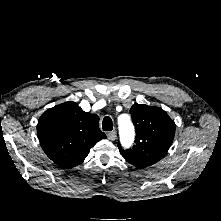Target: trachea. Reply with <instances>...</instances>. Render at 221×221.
I'll list each match as a JSON object with an SVG mask.
<instances>
[{
  "label": "trachea",
  "mask_w": 221,
  "mask_h": 221,
  "mask_svg": "<svg viewBox=\"0 0 221 221\" xmlns=\"http://www.w3.org/2000/svg\"><path fill=\"white\" fill-rule=\"evenodd\" d=\"M102 128L104 131H111L113 129V123L110 117L106 116L102 121Z\"/></svg>",
  "instance_id": "1"
}]
</instances>
